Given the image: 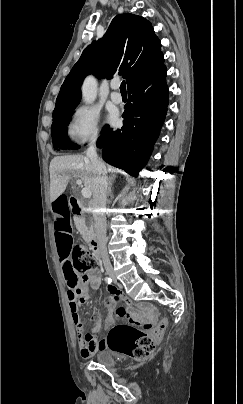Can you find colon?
<instances>
[{
    "mask_svg": "<svg viewBox=\"0 0 243 404\" xmlns=\"http://www.w3.org/2000/svg\"><path fill=\"white\" fill-rule=\"evenodd\" d=\"M96 265V258L84 245H77L74 248L72 268L77 277L85 278L96 268ZM164 327L163 320L151 332L128 324L115 325L109 331L106 347L119 354L145 359L153 352L156 339Z\"/></svg>",
    "mask_w": 243,
    "mask_h": 404,
    "instance_id": "1",
    "label": "colon"
}]
</instances>
